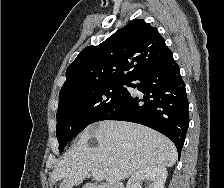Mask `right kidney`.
<instances>
[{"label":"right kidney","instance_id":"obj_1","mask_svg":"<svg viewBox=\"0 0 224 188\" xmlns=\"http://www.w3.org/2000/svg\"><path fill=\"white\" fill-rule=\"evenodd\" d=\"M167 169L162 165H153L134 173L128 180L126 188H142L143 180L150 181L149 188H164L167 178Z\"/></svg>","mask_w":224,"mask_h":188}]
</instances>
